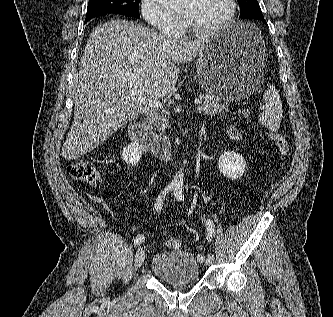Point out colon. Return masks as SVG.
Masks as SVG:
<instances>
[{
    "instance_id": "colon-1",
    "label": "colon",
    "mask_w": 333,
    "mask_h": 317,
    "mask_svg": "<svg viewBox=\"0 0 333 317\" xmlns=\"http://www.w3.org/2000/svg\"><path fill=\"white\" fill-rule=\"evenodd\" d=\"M241 115L245 118H249L251 111L249 109H243ZM266 135L274 142L281 155L284 156L289 152V142L282 133L271 130L268 131ZM67 171L72 178L90 185H97L100 181V174L96 166L88 160H79L70 164ZM164 245L169 249L175 250L180 248L181 242L176 238H168L165 240Z\"/></svg>"
}]
</instances>
